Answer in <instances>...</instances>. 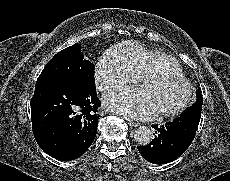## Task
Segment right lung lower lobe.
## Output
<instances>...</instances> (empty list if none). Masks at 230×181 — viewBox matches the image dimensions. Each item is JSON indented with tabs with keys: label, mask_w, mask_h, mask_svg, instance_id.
Wrapping results in <instances>:
<instances>
[{
	"label": "right lung lower lobe",
	"mask_w": 230,
	"mask_h": 181,
	"mask_svg": "<svg viewBox=\"0 0 230 181\" xmlns=\"http://www.w3.org/2000/svg\"><path fill=\"white\" fill-rule=\"evenodd\" d=\"M30 105L34 137L51 157L73 160L93 143L100 106L96 89L73 83H45L35 87Z\"/></svg>",
	"instance_id": "right-lung-lower-lobe-1"
}]
</instances>
